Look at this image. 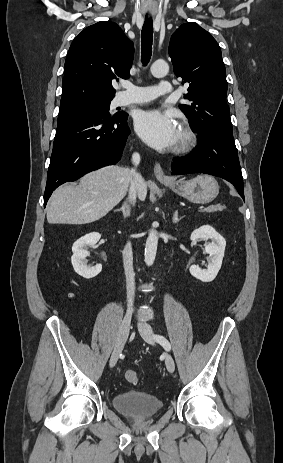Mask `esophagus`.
Here are the masks:
<instances>
[{
    "label": "esophagus",
    "instance_id": "34e87169",
    "mask_svg": "<svg viewBox=\"0 0 283 463\" xmlns=\"http://www.w3.org/2000/svg\"><path fill=\"white\" fill-rule=\"evenodd\" d=\"M154 174L156 176V178L161 181V182H170L171 181V178L169 176H167L162 167L160 166L159 163H155L154 165Z\"/></svg>",
    "mask_w": 283,
    "mask_h": 463
}]
</instances>
